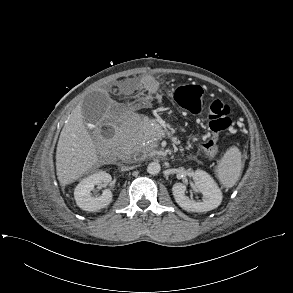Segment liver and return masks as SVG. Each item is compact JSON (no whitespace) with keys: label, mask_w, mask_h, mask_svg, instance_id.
Segmentation results:
<instances>
[{"label":"liver","mask_w":293,"mask_h":293,"mask_svg":"<svg viewBox=\"0 0 293 293\" xmlns=\"http://www.w3.org/2000/svg\"><path fill=\"white\" fill-rule=\"evenodd\" d=\"M97 161L95 145L85 128L79 104L68 117L57 144L56 172L60 184L73 183Z\"/></svg>","instance_id":"obj_1"}]
</instances>
